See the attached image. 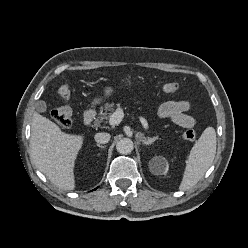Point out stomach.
Masks as SVG:
<instances>
[{
	"label": "stomach",
	"instance_id": "obj_1",
	"mask_svg": "<svg viewBox=\"0 0 248 248\" xmlns=\"http://www.w3.org/2000/svg\"><path fill=\"white\" fill-rule=\"evenodd\" d=\"M127 82H128V84H131L132 83L131 80H128ZM112 92H113L112 87H106L105 90H104L105 97L110 96L112 94ZM95 102H98V100H95Z\"/></svg>",
	"mask_w": 248,
	"mask_h": 248
}]
</instances>
